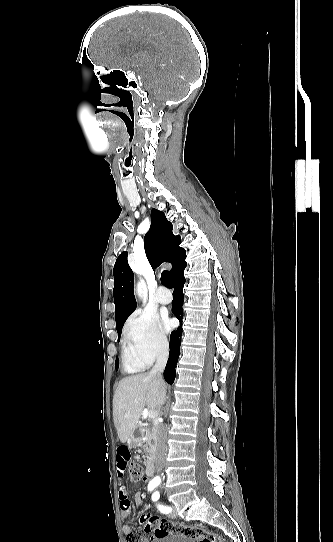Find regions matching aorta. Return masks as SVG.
Listing matches in <instances>:
<instances>
[{"instance_id":"aorta-1","label":"aorta","mask_w":333,"mask_h":542,"mask_svg":"<svg viewBox=\"0 0 333 542\" xmlns=\"http://www.w3.org/2000/svg\"><path fill=\"white\" fill-rule=\"evenodd\" d=\"M142 288H143L142 284H138V294H139V296H142V294H143ZM153 480H156V482H160V478H158V476H157V478H153Z\"/></svg>"}]
</instances>
